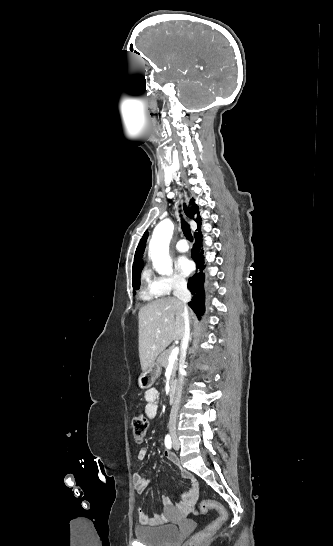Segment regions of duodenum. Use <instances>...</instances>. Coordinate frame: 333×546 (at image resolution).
I'll return each mask as SVG.
<instances>
[{"mask_svg":"<svg viewBox=\"0 0 333 546\" xmlns=\"http://www.w3.org/2000/svg\"><path fill=\"white\" fill-rule=\"evenodd\" d=\"M169 399L171 404H175L177 400V385L172 382L169 388Z\"/></svg>","mask_w":333,"mask_h":546,"instance_id":"duodenum-1","label":"duodenum"}]
</instances>
